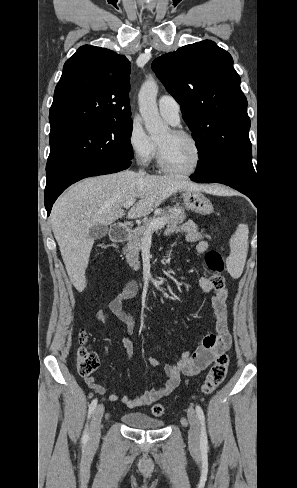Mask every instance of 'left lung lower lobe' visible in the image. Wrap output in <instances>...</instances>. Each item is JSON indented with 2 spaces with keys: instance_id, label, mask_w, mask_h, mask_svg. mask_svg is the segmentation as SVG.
Listing matches in <instances>:
<instances>
[{
  "instance_id": "0a47b994",
  "label": "left lung lower lobe",
  "mask_w": 297,
  "mask_h": 488,
  "mask_svg": "<svg viewBox=\"0 0 297 488\" xmlns=\"http://www.w3.org/2000/svg\"><path fill=\"white\" fill-rule=\"evenodd\" d=\"M190 178L193 181L200 183H221L228 185L248 196L253 203L256 202L255 182L242 175L233 172H218L205 177H200L196 174H193L190 176Z\"/></svg>"
}]
</instances>
